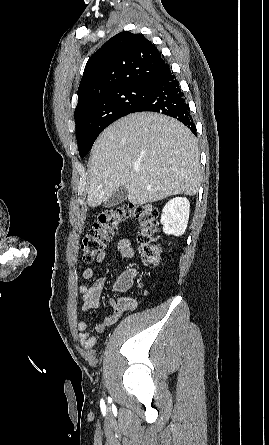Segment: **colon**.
Here are the masks:
<instances>
[{
	"label": "colon",
	"mask_w": 269,
	"mask_h": 445,
	"mask_svg": "<svg viewBox=\"0 0 269 445\" xmlns=\"http://www.w3.org/2000/svg\"><path fill=\"white\" fill-rule=\"evenodd\" d=\"M137 222L138 243L141 258L146 264H155L159 258L158 210L151 204H124L101 212L92 228L82 240L80 251L84 264H90L128 219ZM132 284L130 278L116 282L115 289L124 291Z\"/></svg>",
	"instance_id": "5ec220e1"
}]
</instances>
